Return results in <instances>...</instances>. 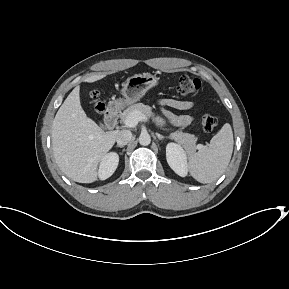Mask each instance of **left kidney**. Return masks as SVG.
<instances>
[{"mask_svg":"<svg viewBox=\"0 0 289 289\" xmlns=\"http://www.w3.org/2000/svg\"><path fill=\"white\" fill-rule=\"evenodd\" d=\"M166 159L171 169L181 177L188 172L187 155L184 149L176 143H168L166 146Z\"/></svg>","mask_w":289,"mask_h":289,"instance_id":"left-kidney-1","label":"left kidney"}]
</instances>
